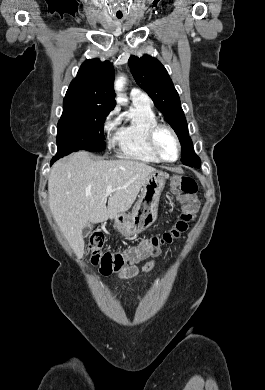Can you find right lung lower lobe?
Returning <instances> with one entry per match:
<instances>
[{"mask_svg":"<svg viewBox=\"0 0 265 390\" xmlns=\"http://www.w3.org/2000/svg\"><path fill=\"white\" fill-rule=\"evenodd\" d=\"M59 158H60V157L57 156V155H56L55 157H53L52 160H51V164H52L54 161H56L57 159H59Z\"/></svg>","mask_w":265,"mask_h":390,"instance_id":"obj_1","label":"right lung lower lobe"}]
</instances>
